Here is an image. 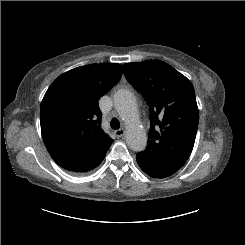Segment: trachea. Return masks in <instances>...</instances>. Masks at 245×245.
I'll return each mask as SVG.
<instances>
[{"mask_svg": "<svg viewBox=\"0 0 245 245\" xmlns=\"http://www.w3.org/2000/svg\"><path fill=\"white\" fill-rule=\"evenodd\" d=\"M110 125H111L112 129H114V130H117L120 128V122L116 118H113L111 120Z\"/></svg>", "mask_w": 245, "mask_h": 245, "instance_id": "3493384b", "label": "trachea"}]
</instances>
